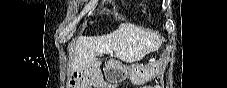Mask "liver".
<instances>
[{"instance_id": "6515ba94", "label": "liver", "mask_w": 227, "mask_h": 88, "mask_svg": "<svg viewBox=\"0 0 227 88\" xmlns=\"http://www.w3.org/2000/svg\"><path fill=\"white\" fill-rule=\"evenodd\" d=\"M161 45L157 35L130 23L121 24L115 31L103 36H80L72 49L71 71H80L108 54L126 63L142 60Z\"/></svg>"}]
</instances>
